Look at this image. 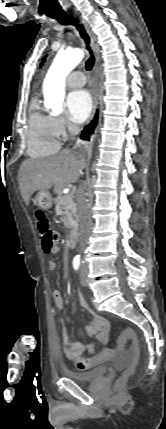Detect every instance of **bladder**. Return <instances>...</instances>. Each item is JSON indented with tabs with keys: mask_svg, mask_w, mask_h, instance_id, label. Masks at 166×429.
I'll list each match as a JSON object with an SVG mask.
<instances>
[{
	"mask_svg": "<svg viewBox=\"0 0 166 429\" xmlns=\"http://www.w3.org/2000/svg\"><path fill=\"white\" fill-rule=\"evenodd\" d=\"M108 371V366H99L87 372L66 370L65 375L78 383H88L102 378Z\"/></svg>",
	"mask_w": 166,
	"mask_h": 429,
	"instance_id": "1",
	"label": "bladder"
}]
</instances>
